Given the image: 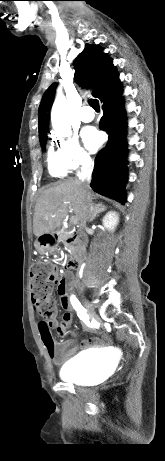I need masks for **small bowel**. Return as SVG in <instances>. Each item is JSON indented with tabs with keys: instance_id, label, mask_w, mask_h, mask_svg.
<instances>
[{
	"instance_id": "obj_1",
	"label": "small bowel",
	"mask_w": 165,
	"mask_h": 461,
	"mask_svg": "<svg viewBox=\"0 0 165 461\" xmlns=\"http://www.w3.org/2000/svg\"><path fill=\"white\" fill-rule=\"evenodd\" d=\"M56 289L58 290L57 296L61 299V305L65 310L62 316V321L59 322L56 315L52 318L47 319L46 323L50 328H55L60 336H65L70 331L73 323V316L71 314L72 303L69 300V291L67 287V280L65 277H58ZM86 329H90L88 324L85 325ZM41 339L43 345L47 351L48 356L54 363H60L73 357L78 351L87 349L91 346H95L99 343L96 338L86 339L78 345H73L70 341L67 342H55L53 346H48L42 338V323L40 325ZM75 336L74 332H71Z\"/></svg>"
}]
</instances>
